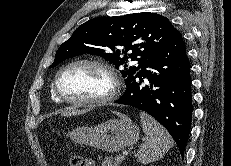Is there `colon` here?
Wrapping results in <instances>:
<instances>
[{"label":"colon","mask_w":231,"mask_h":166,"mask_svg":"<svg viewBox=\"0 0 231 166\" xmlns=\"http://www.w3.org/2000/svg\"><path fill=\"white\" fill-rule=\"evenodd\" d=\"M69 163L70 166H93L92 161L81 157H72Z\"/></svg>","instance_id":"5ec220e1"}]
</instances>
